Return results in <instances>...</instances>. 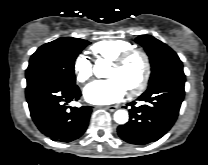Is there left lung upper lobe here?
Returning a JSON list of instances; mask_svg holds the SVG:
<instances>
[{
  "label": "left lung upper lobe",
  "instance_id": "left-lung-upper-lobe-1",
  "mask_svg": "<svg viewBox=\"0 0 208 165\" xmlns=\"http://www.w3.org/2000/svg\"><path fill=\"white\" fill-rule=\"evenodd\" d=\"M136 42L144 47L150 59L149 86L169 76L184 75L181 60L166 44L151 35H141Z\"/></svg>",
  "mask_w": 208,
  "mask_h": 165
}]
</instances>
